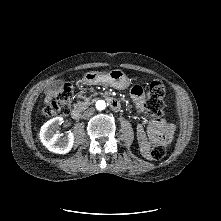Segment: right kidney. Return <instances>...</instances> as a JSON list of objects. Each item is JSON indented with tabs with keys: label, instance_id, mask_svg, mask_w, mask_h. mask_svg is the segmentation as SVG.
<instances>
[{
	"label": "right kidney",
	"instance_id": "obj_1",
	"mask_svg": "<svg viewBox=\"0 0 221 221\" xmlns=\"http://www.w3.org/2000/svg\"><path fill=\"white\" fill-rule=\"evenodd\" d=\"M62 122V117L52 118L41 127L39 133L42 144L53 153L66 154L73 147L74 135L72 132L65 136L57 133V126Z\"/></svg>",
	"mask_w": 221,
	"mask_h": 221
}]
</instances>
